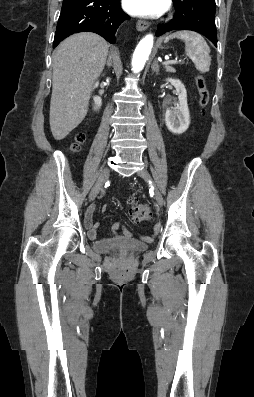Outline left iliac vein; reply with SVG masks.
<instances>
[{
  "mask_svg": "<svg viewBox=\"0 0 254 397\" xmlns=\"http://www.w3.org/2000/svg\"><path fill=\"white\" fill-rule=\"evenodd\" d=\"M138 175L141 178H143L145 181H150L151 180V176H150L149 172L146 169H141L138 172ZM153 189H154L155 199H156L158 205L159 206H163L164 205V199H163L162 194L160 193V191L156 187H153Z\"/></svg>",
  "mask_w": 254,
  "mask_h": 397,
  "instance_id": "obj_1",
  "label": "left iliac vein"
}]
</instances>
